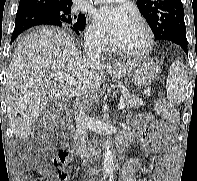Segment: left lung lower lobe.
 Masks as SVG:
<instances>
[{
    "label": "left lung lower lobe",
    "mask_w": 197,
    "mask_h": 181,
    "mask_svg": "<svg viewBox=\"0 0 197 181\" xmlns=\"http://www.w3.org/2000/svg\"><path fill=\"white\" fill-rule=\"evenodd\" d=\"M169 40L180 45L182 47V49L185 51V53L188 55L187 38H186L185 32H179V33L172 34L170 36Z\"/></svg>",
    "instance_id": "obj_1"
}]
</instances>
